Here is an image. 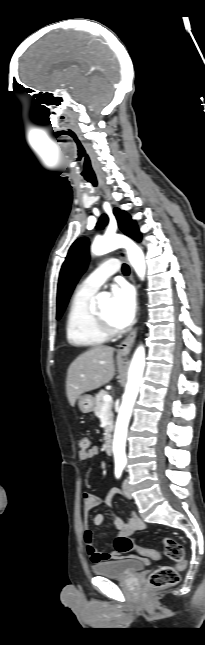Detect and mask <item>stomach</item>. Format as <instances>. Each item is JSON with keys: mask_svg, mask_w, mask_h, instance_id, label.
Returning a JSON list of instances; mask_svg holds the SVG:
<instances>
[{"mask_svg": "<svg viewBox=\"0 0 205 645\" xmlns=\"http://www.w3.org/2000/svg\"><path fill=\"white\" fill-rule=\"evenodd\" d=\"M78 407L83 413H90L95 407V398L91 395H81L78 397Z\"/></svg>", "mask_w": 205, "mask_h": 645, "instance_id": "1", "label": "stomach"}]
</instances>
